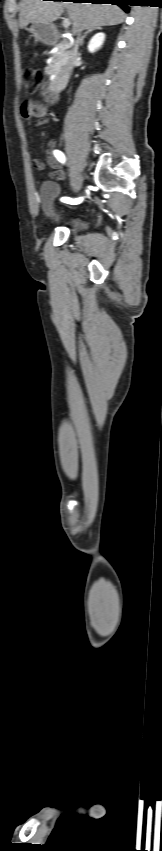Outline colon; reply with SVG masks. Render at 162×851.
<instances>
[{
  "label": "colon",
  "mask_w": 162,
  "mask_h": 851,
  "mask_svg": "<svg viewBox=\"0 0 162 851\" xmlns=\"http://www.w3.org/2000/svg\"><path fill=\"white\" fill-rule=\"evenodd\" d=\"M25 86L28 92L36 91L42 82V76L37 70H27L24 72Z\"/></svg>",
  "instance_id": "obj_1"
}]
</instances>
